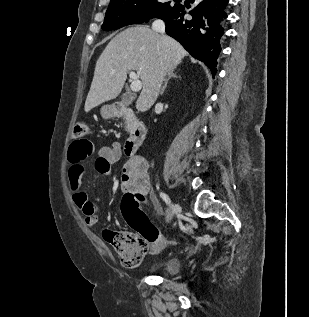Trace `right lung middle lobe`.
<instances>
[{
	"instance_id": "1",
	"label": "right lung middle lobe",
	"mask_w": 309,
	"mask_h": 317,
	"mask_svg": "<svg viewBox=\"0 0 309 317\" xmlns=\"http://www.w3.org/2000/svg\"><path fill=\"white\" fill-rule=\"evenodd\" d=\"M170 2L158 0H111L102 29L116 30L125 25L140 24L169 11Z\"/></svg>"
}]
</instances>
